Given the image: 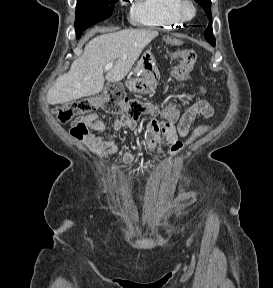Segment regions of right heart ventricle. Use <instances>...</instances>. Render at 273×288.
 I'll list each match as a JSON object with an SVG mask.
<instances>
[{
	"instance_id": "e07e8e85",
	"label": "right heart ventricle",
	"mask_w": 273,
	"mask_h": 288,
	"mask_svg": "<svg viewBox=\"0 0 273 288\" xmlns=\"http://www.w3.org/2000/svg\"><path fill=\"white\" fill-rule=\"evenodd\" d=\"M179 4L180 0H136L131 20L139 26L172 29L183 23L177 12Z\"/></svg>"
}]
</instances>
